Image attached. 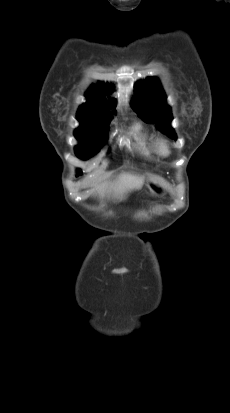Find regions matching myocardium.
I'll return each mask as SVG.
<instances>
[{
  "label": "myocardium",
  "mask_w": 230,
  "mask_h": 413,
  "mask_svg": "<svg viewBox=\"0 0 230 413\" xmlns=\"http://www.w3.org/2000/svg\"><path fill=\"white\" fill-rule=\"evenodd\" d=\"M157 151L162 156H168L171 153V148L167 140L160 139L157 142Z\"/></svg>",
  "instance_id": "obj_1"
}]
</instances>
